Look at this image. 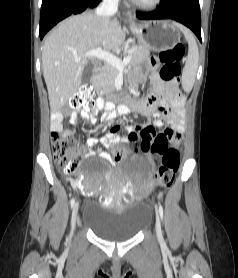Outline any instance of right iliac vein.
<instances>
[{"label":"right iliac vein","mask_w":238,"mask_h":278,"mask_svg":"<svg viewBox=\"0 0 238 278\" xmlns=\"http://www.w3.org/2000/svg\"><path fill=\"white\" fill-rule=\"evenodd\" d=\"M78 203H75L72 210V218H71V233L74 232L76 228V223L78 221Z\"/></svg>","instance_id":"63e3f726"}]
</instances>
